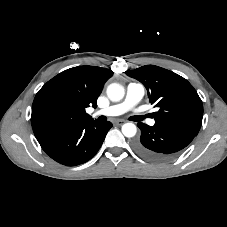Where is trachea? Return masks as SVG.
I'll use <instances>...</instances> for the list:
<instances>
[{
  "mask_svg": "<svg viewBox=\"0 0 227 227\" xmlns=\"http://www.w3.org/2000/svg\"><path fill=\"white\" fill-rule=\"evenodd\" d=\"M130 119L132 121L138 122V121H142L144 119V117L143 116H132Z\"/></svg>",
  "mask_w": 227,
  "mask_h": 227,
  "instance_id": "3493384b",
  "label": "trachea"
}]
</instances>
